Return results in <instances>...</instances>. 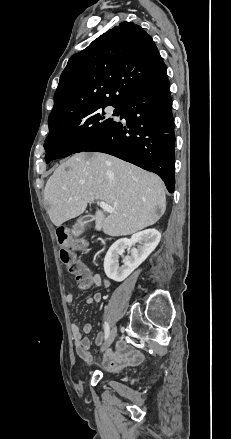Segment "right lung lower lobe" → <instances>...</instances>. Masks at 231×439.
Instances as JSON below:
<instances>
[{
  "label": "right lung lower lobe",
  "instance_id": "98d812e1",
  "mask_svg": "<svg viewBox=\"0 0 231 439\" xmlns=\"http://www.w3.org/2000/svg\"><path fill=\"white\" fill-rule=\"evenodd\" d=\"M116 125L84 151L108 153L158 174L174 192V119L169 81L132 97Z\"/></svg>",
  "mask_w": 231,
  "mask_h": 439
}]
</instances>
